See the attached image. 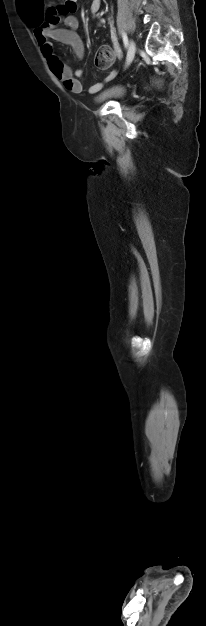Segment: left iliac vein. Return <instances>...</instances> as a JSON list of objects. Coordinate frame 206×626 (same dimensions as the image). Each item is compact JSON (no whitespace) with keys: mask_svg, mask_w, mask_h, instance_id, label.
I'll return each instance as SVG.
<instances>
[{"mask_svg":"<svg viewBox=\"0 0 206 626\" xmlns=\"http://www.w3.org/2000/svg\"><path fill=\"white\" fill-rule=\"evenodd\" d=\"M135 52H136V45L133 40H130L128 52H127V58H126V67L129 66L130 63L133 61Z\"/></svg>","mask_w":206,"mask_h":626,"instance_id":"4c4485c4","label":"left iliac vein"}]
</instances>
